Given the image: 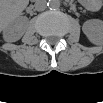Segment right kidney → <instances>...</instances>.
<instances>
[{
    "instance_id": "1",
    "label": "right kidney",
    "mask_w": 103,
    "mask_h": 103,
    "mask_svg": "<svg viewBox=\"0 0 103 103\" xmlns=\"http://www.w3.org/2000/svg\"><path fill=\"white\" fill-rule=\"evenodd\" d=\"M27 24V20H17L10 23L3 29V38L7 42H15L21 38L24 33V26Z\"/></svg>"
}]
</instances>
